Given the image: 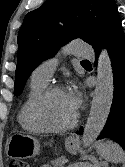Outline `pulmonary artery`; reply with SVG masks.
<instances>
[{
  "label": "pulmonary artery",
  "instance_id": "obj_1",
  "mask_svg": "<svg viewBox=\"0 0 125 167\" xmlns=\"http://www.w3.org/2000/svg\"><path fill=\"white\" fill-rule=\"evenodd\" d=\"M69 50L77 58H89L93 55L92 50L83 40L80 39L73 41L69 47ZM58 60V57H54L43 61L34 70L32 78L48 83L58 65Z\"/></svg>",
  "mask_w": 125,
  "mask_h": 167
}]
</instances>
